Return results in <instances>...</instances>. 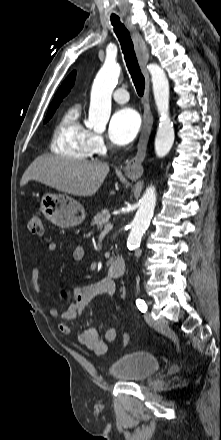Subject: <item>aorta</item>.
I'll list each match as a JSON object with an SVG mask.
<instances>
[{
	"instance_id": "1",
	"label": "aorta",
	"mask_w": 221,
	"mask_h": 440,
	"mask_svg": "<svg viewBox=\"0 0 221 440\" xmlns=\"http://www.w3.org/2000/svg\"><path fill=\"white\" fill-rule=\"evenodd\" d=\"M155 104L159 114V125L155 137V152L158 157L167 155L174 143V128L169 116V81L164 70L157 64H150ZM120 67L116 63H105L98 72L91 91L87 126L104 129L111 114V97L118 82ZM156 205V191L153 186L146 189L140 200L139 209L132 222L127 239L130 249L138 247L150 224Z\"/></svg>"
}]
</instances>
